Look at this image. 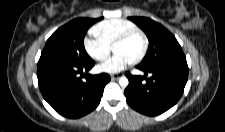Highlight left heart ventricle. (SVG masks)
Returning <instances> with one entry per match:
<instances>
[{
	"mask_svg": "<svg viewBox=\"0 0 225 132\" xmlns=\"http://www.w3.org/2000/svg\"><path fill=\"white\" fill-rule=\"evenodd\" d=\"M143 39L139 35H135L123 44L115 47V53H124L132 60L136 58L143 49Z\"/></svg>",
	"mask_w": 225,
	"mask_h": 132,
	"instance_id": "1",
	"label": "left heart ventricle"
}]
</instances>
